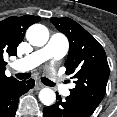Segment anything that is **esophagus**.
Segmentation results:
<instances>
[{
    "label": "esophagus",
    "instance_id": "esophagus-1",
    "mask_svg": "<svg viewBox=\"0 0 117 117\" xmlns=\"http://www.w3.org/2000/svg\"><path fill=\"white\" fill-rule=\"evenodd\" d=\"M43 87H44V85H43L42 83H40V82H37L36 85H35V88H36L37 90H39V89H41V88H43Z\"/></svg>",
    "mask_w": 117,
    "mask_h": 117
}]
</instances>
